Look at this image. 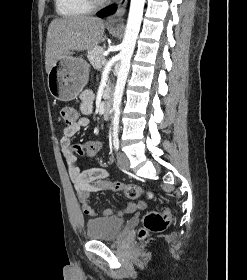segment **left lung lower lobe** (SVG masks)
<instances>
[{"label":"left lung lower lobe","instance_id":"obj_1","mask_svg":"<svg viewBox=\"0 0 247 280\" xmlns=\"http://www.w3.org/2000/svg\"><path fill=\"white\" fill-rule=\"evenodd\" d=\"M116 11V6L109 7L98 14L100 17H106L113 14Z\"/></svg>","mask_w":247,"mask_h":280}]
</instances>
